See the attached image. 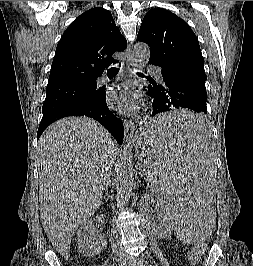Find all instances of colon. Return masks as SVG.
Here are the masks:
<instances>
[{
    "label": "colon",
    "instance_id": "5ec220e1",
    "mask_svg": "<svg viewBox=\"0 0 253 266\" xmlns=\"http://www.w3.org/2000/svg\"><path fill=\"white\" fill-rule=\"evenodd\" d=\"M204 248H195L188 256V261L190 264L195 265L200 260V254L203 252Z\"/></svg>",
    "mask_w": 253,
    "mask_h": 266
}]
</instances>
